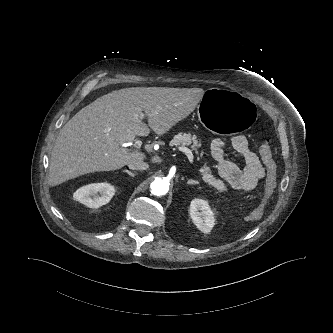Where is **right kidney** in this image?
<instances>
[{
    "mask_svg": "<svg viewBox=\"0 0 333 333\" xmlns=\"http://www.w3.org/2000/svg\"><path fill=\"white\" fill-rule=\"evenodd\" d=\"M100 194V196H99ZM115 188L109 183H92L79 188L74 193V199L90 208H99L107 204L113 195Z\"/></svg>",
    "mask_w": 333,
    "mask_h": 333,
    "instance_id": "obj_1",
    "label": "right kidney"
}]
</instances>
